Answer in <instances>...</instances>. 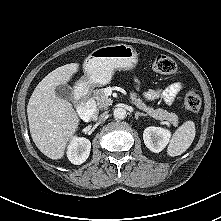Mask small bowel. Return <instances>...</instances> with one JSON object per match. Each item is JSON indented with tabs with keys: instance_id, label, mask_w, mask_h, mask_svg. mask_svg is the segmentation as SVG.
Returning <instances> with one entry per match:
<instances>
[{
	"instance_id": "c3829d8e",
	"label": "small bowel",
	"mask_w": 221,
	"mask_h": 221,
	"mask_svg": "<svg viewBox=\"0 0 221 221\" xmlns=\"http://www.w3.org/2000/svg\"><path fill=\"white\" fill-rule=\"evenodd\" d=\"M135 82H137V80H135ZM180 90V83H172L165 89L149 90L144 93V97L147 100H155L161 98L166 103H171Z\"/></svg>"
}]
</instances>
